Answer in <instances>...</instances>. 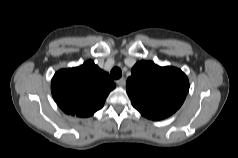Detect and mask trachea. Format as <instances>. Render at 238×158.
Instances as JSON below:
<instances>
[{
	"instance_id": "obj_1",
	"label": "trachea",
	"mask_w": 238,
	"mask_h": 158,
	"mask_svg": "<svg viewBox=\"0 0 238 158\" xmlns=\"http://www.w3.org/2000/svg\"><path fill=\"white\" fill-rule=\"evenodd\" d=\"M111 76L114 78V79H119L121 76H122V71L120 68L118 67H114L112 70H111Z\"/></svg>"
}]
</instances>
